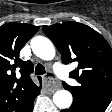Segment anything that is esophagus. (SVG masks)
Listing matches in <instances>:
<instances>
[{
    "label": "esophagus",
    "mask_w": 112,
    "mask_h": 112,
    "mask_svg": "<svg viewBox=\"0 0 112 112\" xmlns=\"http://www.w3.org/2000/svg\"><path fill=\"white\" fill-rule=\"evenodd\" d=\"M43 81H44V88L48 92H54L59 87L56 80L50 75V73H48L47 76L43 78Z\"/></svg>",
    "instance_id": "obj_1"
}]
</instances>
